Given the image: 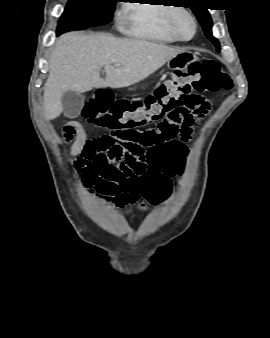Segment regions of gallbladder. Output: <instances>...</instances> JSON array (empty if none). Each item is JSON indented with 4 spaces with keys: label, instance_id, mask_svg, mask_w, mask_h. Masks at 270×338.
<instances>
[{
    "label": "gallbladder",
    "instance_id": "1",
    "mask_svg": "<svg viewBox=\"0 0 270 338\" xmlns=\"http://www.w3.org/2000/svg\"><path fill=\"white\" fill-rule=\"evenodd\" d=\"M63 112L66 117L76 118L84 105V96L74 91H66L61 97Z\"/></svg>",
    "mask_w": 270,
    "mask_h": 338
}]
</instances>
